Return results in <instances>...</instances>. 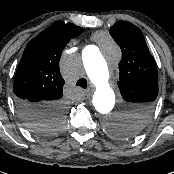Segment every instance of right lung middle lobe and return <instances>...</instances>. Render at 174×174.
<instances>
[{
    "mask_svg": "<svg viewBox=\"0 0 174 174\" xmlns=\"http://www.w3.org/2000/svg\"><path fill=\"white\" fill-rule=\"evenodd\" d=\"M48 115L46 121H39L33 124H28V127L35 133L40 135H48L56 129V125L60 123L62 117L60 112H52Z\"/></svg>",
    "mask_w": 174,
    "mask_h": 174,
    "instance_id": "1",
    "label": "right lung middle lobe"
}]
</instances>
